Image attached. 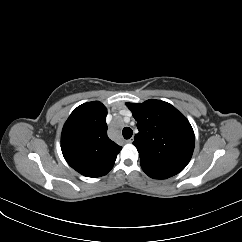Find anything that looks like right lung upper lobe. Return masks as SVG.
Returning a JSON list of instances; mask_svg holds the SVG:
<instances>
[{
	"instance_id": "obj_1",
	"label": "right lung upper lobe",
	"mask_w": 242,
	"mask_h": 242,
	"mask_svg": "<svg viewBox=\"0 0 242 242\" xmlns=\"http://www.w3.org/2000/svg\"><path fill=\"white\" fill-rule=\"evenodd\" d=\"M107 109L99 101L78 106L67 119L61 149L67 163L86 177L106 175L121 146L107 136Z\"/></svg>"
}]
</instances>
